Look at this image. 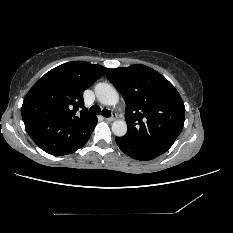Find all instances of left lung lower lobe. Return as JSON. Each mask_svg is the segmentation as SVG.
<instances>
[{
  "label": "left lung lower lobe",
  "instance_id": "obj_1",
  "mask_svg": "<svg viewBox=\"0 0 233 233\" xmlns=\"http://www.w3.org/2000/svg\"><path fill=\"white\" fill-rule=\"evenodd\" d=\"M115 140L122 152H124L126 155L130 156L131 158L137 160H141V161L152 160L161 155L160 153L143 149L133 144L124 137H116Z\"/></svg>",
  "mask_w": 233,
  "mask_h": 233
}]
</instances>
